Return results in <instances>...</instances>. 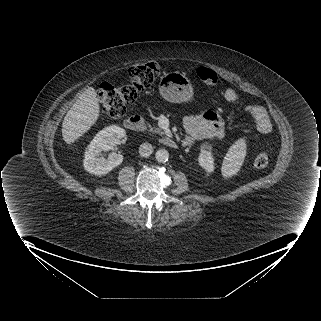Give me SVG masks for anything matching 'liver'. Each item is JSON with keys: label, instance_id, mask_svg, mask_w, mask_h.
<instances>
[{"label": "liver", "instance_id": "1", "mask_svg": "<svg viewBox=\"0 0 321 321\" xmlns=\"http://www.w3.org/2000/svg\"><path fill=\"white\" fill-rule=\"evenodd\" d=\"M100 116V105L93 87L86 89L67 112L62 123V137L66 144H73Z\"/></svg>", "mask_w": 321, "mask_h": 321}]
</instances>
